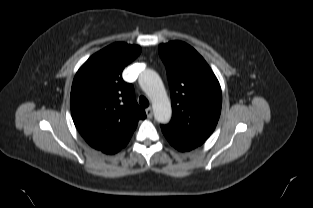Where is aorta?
I'll return each instance as SVG.
<instances>
[{"label":"aorta","instance_id":"aorta-1","mask_svg":"<svg viewBox=\"0 0 313 208\" xmlns=\"http://www.w3.org/2000/svg\"><path fill=\"white\" fill-rule=\"evenodd\" d=\"M138 81L152 101L155 120L159 123H168L172 108L160 76L153 70H145L140 74Z\"/></svg>","mask_w":313,"mask_h":208}]
</instances>
